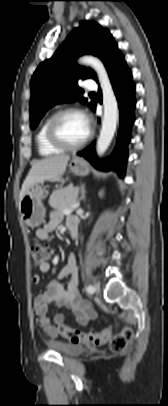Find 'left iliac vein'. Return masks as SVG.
Instances as JSON below:
<instances>
[{
    "mask_svg": "<svg viewBox=\"0 0 168 406\" xmlns=\"http://www.w3.org/2000/svg\"><path fill=\"white\" fill-rule=\"evenodd\" d=\"M94 288H95V292H96V293H99V291H100V286H99L98 284H95V285H94Z\"/></svg>",
    "mask_w": 168,
    "mask_h": 406,
    "instance_id": "left-iliac-vein-1",
    "label": "left iliac vein"
}]
</instances>
